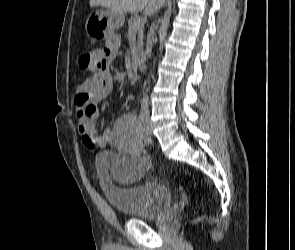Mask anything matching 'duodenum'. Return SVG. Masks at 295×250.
<instances>
[{
    "label": "duodenum",
    "instance_id": "duodenum-1",
    "mask_svg": "<svg viewBox=\"0 0 295 250\" xmlns=\"http://www.w3.org/2000/svg\"><path fill=\"white\" fill-rule=\"evenodd\" d=\"M137 67L140 71H144L146 69V56L144 53L139 52L136 56Z\"/></svg>",
    "mask_w": 295,
    "mask_h": 250
}]
</instances>
